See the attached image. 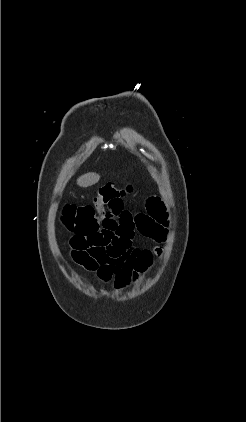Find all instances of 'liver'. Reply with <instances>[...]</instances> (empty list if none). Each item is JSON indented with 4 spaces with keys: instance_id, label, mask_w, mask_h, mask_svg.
Segmentation results:
<instances>
[{
    "instance_id": "obj_1",
    "label": "liver",
    "mask_w": 246,
    "mask_h": 422,
    "mask_svg": "<svg viewBox=\"0 0 246 422\" xmlns=\"http://www.w3.org/2000/svg\"><path fill=\"white\" fill-rule=\"evenodd\" d=\"M99 179H100V176L98 174L87 173L77 179V184L80 187L86 188V187L96 184L99 181Z\"/></svg>"
}]
</instances>
